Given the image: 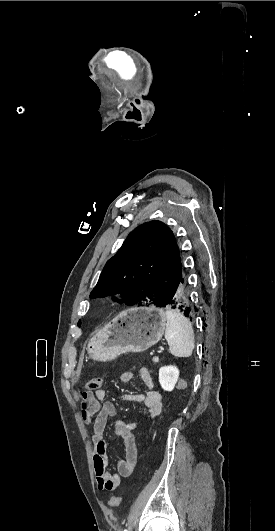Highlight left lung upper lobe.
Masks as SVG:
<instances>
[{
	"label": "left lung upper lobe",
	"mask_w": 275,
	"mask_h": 531,
	"mask_svg": "<svg viewBox=\"0 0 275 531\" xmlns=\"http://www.w3.org/2000/svg\"><path fill=\"white\" fill-rule=\"evenodd\" d=\"M182 277L173 232L161 221H150L133 230L107 261L90 297H109L117 304L164 307Z\"/></svg>",
	"instance_id": "5c2ea615"
}]
</instances>
